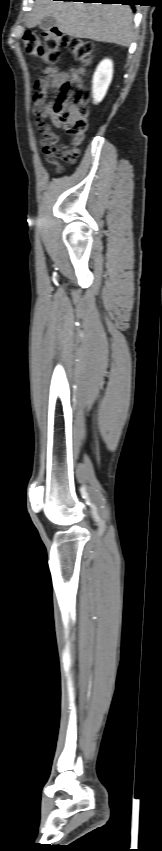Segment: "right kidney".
I'll return each mask as SVG.
<instances>
[{"label": "right kidney", "mask_w": 162, "mask_h": 851, "mask_svg": "<svg viewBox=\"0 0 162 851\" xmlns=\"http://www.w3.org/2000/svg\"><path fill=\"white\" fill-rule=\"evenodd\" d=\"M113 62L110 59H104L97 66L93 75L92 81V96L95 104L102 101L108 87L112 81Z\"/></svg>", "instance_id": "1"}]
</instances>
